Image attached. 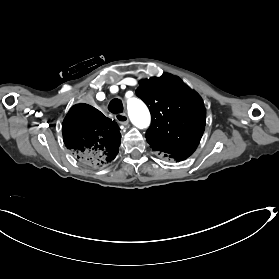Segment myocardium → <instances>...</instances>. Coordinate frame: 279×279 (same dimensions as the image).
<instances>
[{"label":"myocardium","mask_w":279,"mask_h":279,"mask_svg":"<svg viewBox=\"0 0 279 279\" xmlns=\"http://www.w3.org/2000/svg\"><path fill=\"white\" fill-rule=\"evenodd\" d=\"M97 98H98L99 100H102V99H103V95H102V97H100V96L98 95Z\"/></svg>","instance_id":"myocardium-1"}]
</instances>
